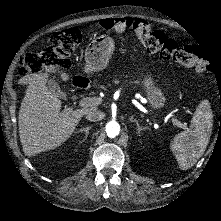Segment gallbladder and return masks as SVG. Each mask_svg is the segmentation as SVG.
Returning <instances> with one entry per match:
<instances>
[{
    "label": "gallbladder",
    "mask_w": 221,
    "mask_h": 221,
    "mask_svg": "<svg viewBox=\"0 0 221 221\" xmlns=\"http://www.w3.org/2000/svg\"><path fill=\"white\" fill-rule=\"evenodd\" d=\"M46 87L54 96L63 97L64 93L61 91L56 79L46 78Z\"/></svg>",
    "instance_id": "1"
}]
</instances>
